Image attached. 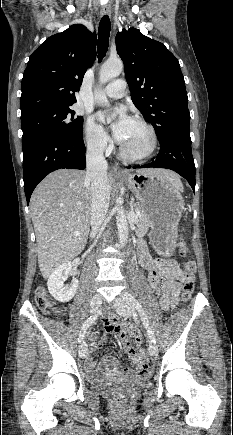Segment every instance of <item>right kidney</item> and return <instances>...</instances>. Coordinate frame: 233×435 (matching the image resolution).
<instances>
[{"instance_id": "1", "label": "right kidney", "mask_w": 233, "mask_h": 435, "mask_svg": "<svg viewBox=\"0 0 233 435\" xmlns=\"http://www.w3.org/2000/svg\"><path fill=\"white\" fill-rule=\"evenodd\" d=\"M71 271L72 263L66 262L56 268L48 279V290L50 294L59 302L65 303L70 301L77 291V279H73V282L70 286L64 285V282L67 280V277Z\"/></svg>"}]
</instances>
